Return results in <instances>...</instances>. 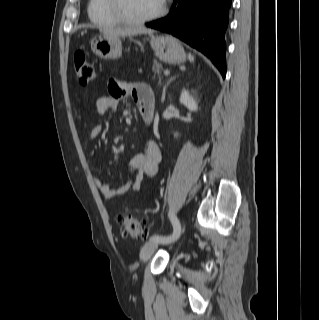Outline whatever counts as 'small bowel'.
<instances>
[{"mask_svg":"<svg viewBox=\"0 0 319 320\" xmlns=\"http://www.w3.org/2000/svg\"><path fill=\"white\" fill-rule=\"evenodd\" d=\"M128 97L134 99L139 111L143 109L154 111V97L148 84L112 79L109 82L108 94L97 99L95 113L102 116L107 111H115L119 102ZM101 132L102 127L100 125L93 126L88 133V139H96ZM160 161L161 150L158 144L154 141H148L144 150L130 159V178L126 183L117 188H112L102 178L96 177L95 184L105 199H113L129 191L137 193L141 190L143 177H152L157 173Z\"/></svg>","mask_w":319,"mask_h":320,"instance_id":"1","label":"small bowel"}]
</instances>
